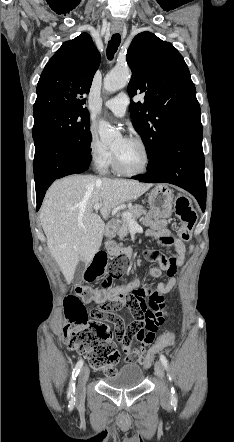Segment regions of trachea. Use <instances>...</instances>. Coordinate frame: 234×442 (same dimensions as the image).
Here are the masks:
<instances>
[{"mask_svg": "<svg viewBox=\"0 0 234 442\" xmlns=\"http://www.w3.org/2000/svg\"><path fill=\"white\" fill-rule=\"evenodd\" d=\"M121 37L119 34H113L111 40L108 42L106 54L109 60L114 58V55L120 45Z\"/></svg>", "mask_w": 234, "mask_h": 442, "instance_id": "obj_1", "label": "trachea"}]
</instances>
